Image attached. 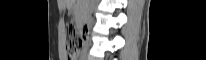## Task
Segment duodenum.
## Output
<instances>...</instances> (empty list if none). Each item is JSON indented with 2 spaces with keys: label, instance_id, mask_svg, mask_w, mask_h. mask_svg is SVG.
Listing matches in <instances>:
<instances>
[{
  "label": "duodenum",
  "instance_id": "1",
  "mask_svg": "<svg viewBox=\"0 0 206 60\" xmlns=\"http://www.w3.org/2000/svg\"><path fill=\"white\" fill-rule=\"evenodd\" d=\"M88 30H89V26L87 25V24H83L82 26H81V31L83 32V34H87V32H88Z\"/></svg>",
  "mask_w": 206,
  "mask_h": 60
}]
</instances>
